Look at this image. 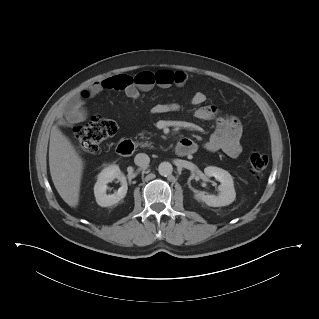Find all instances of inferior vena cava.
Segmentation results:
<instances>
[{
  "label": "inferior vena cava",
  "instance_id": "obj_1",
  "mask_svg": "<svg viewBox=\"0 0 319 319\" xmlns=\"http://www.w3.org/2000/svg\"><path fill=\"white\" fill-rule=\"evenodd\" d=\"M134 162L137 166L145 168L150 163V158L145 153H139L135 156Z\"/></svg>",
  "mask_w": 319,
  "mask_h": 319
}]
</instances>
